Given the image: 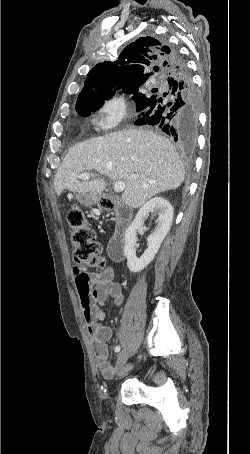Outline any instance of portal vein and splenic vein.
<instances>
[{
	"label": "portal vein and splenic vein",
	"mask_w": 250,
	"mask_h": 454,
	"mask_svg": "<svg viewBox=\"0 0 250 454\" xmlns=\"http://www.w3.org/2000/svg\"><path fill=\"white\" fill-rule=\"evenodd\" d=\"M92 175L89 173H82L78 175L79 178L83 180H88ZM125 189V183L123 181H116L114 183V191L115 192H122Z\"/></svg>",
	"instance_id": "portal-vein-and-splenic-vein-1"
}]
</instances>
